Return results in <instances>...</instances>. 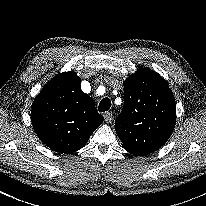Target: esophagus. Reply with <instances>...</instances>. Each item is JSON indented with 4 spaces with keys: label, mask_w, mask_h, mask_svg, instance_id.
<instances>
[{
    "label": "esophagus",
    "mask_w": 206,
    "mask_h": 206,
    "mask_svg": "<svg viewBox=\"0 0 206 206\" xmlns=\"http://www.w3.org/2000/svg\"><path fill=\"white\" fill-rule=\"evenodd\" d=\"M103 116H104L105 122L110 123L112 120L113 114H112V112H106V113H104Z\"/></svg>",
    "instance_id": "34e87169"
}]
</instances>
